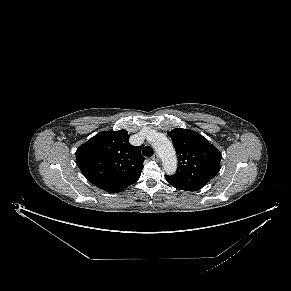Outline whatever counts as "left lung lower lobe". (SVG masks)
Masks as SVG:
<instances>
[{"label": "left lung lower lobe", "instance_id": "1", "mask_svg": "<svg viewBox=\"0 0 291 291\" xmlns=\"http://www.w3.org/2000/svg\"><path fill=\"white\" fill-rule=\"evenodd\" d=\"M168 183H170L173 187L185 190V191H197L201 189L204 185H196V184H178L173 181H171L167 176H165Z\"/></svg>", "mask_w": 291, "mask_h": 291}]
</instances>
